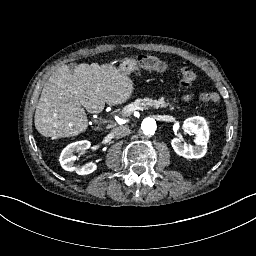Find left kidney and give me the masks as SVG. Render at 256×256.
<instances>
[{
    "instance_id": "obj_1",
    "label": "left kidney",
    "mask_w": 256,
    "mask_h": 256,
    "mask_svg": "<svg viewBox=\"0 0 256 256\" xmlns=\"http://www.w3.org/2000/svg\"><path fill=\"white\" fill-rule=\"evenodd\" d=\"M182 127L185 131L195 134V146L182 143L183 138H174L171 141L174 151L187 159L202 158L207 152L210 136L206 120L200 116L190 117L184 121Z\"/></svg>"
}]
</instances>
